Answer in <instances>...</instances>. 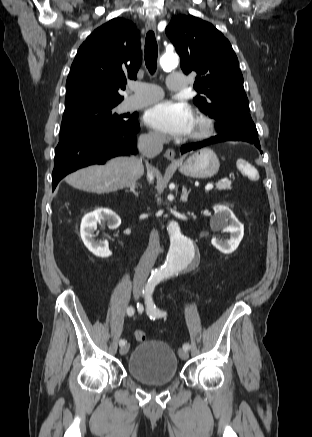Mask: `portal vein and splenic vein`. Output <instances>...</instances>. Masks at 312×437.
Here are the masks:
<instances>
[{
    "label": "portal vein and splenic vein",
    "mask_w": 312,
    "mask_h": 437,
    "mask_svg": "<svg viewBox=\"0 0 312 437\" xmlns=\"http://www.w3.org/2000/svg\"><path fill=\"white\" fill-rule=\"evenodd\" d=\"M212 188H213V184H208V185L205 187L206 190H211Z\"/></svg>",
    "instance_id": "portal-vein-and-splenic-vein-1"
}]
</instances>
